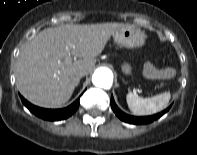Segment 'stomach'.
<instances>
[{"mask_svg": "<svg viewBox=\"0 0 197 155\" xmlns=\"http://www.w3.org/2000/svg\"><path fill=\"white\" fill-rule=\"evenodd\" d=\"M114 40L129 49H137L144 45L145 35L137 27L132 25H124L117 29L113 34ZM122 71L126 75L132 74V67L129 63H124L122 65Z\"/></svg>", "mask_w": 197, "mask_h": 155, "instance_id": "obj_1", "label": "stomach"}]
</instances>
